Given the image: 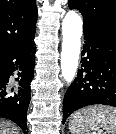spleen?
<instances>
[{"label":"spleen","mask_w":116,"mask_h":134,"mask_svg":"<svg viewBox=\"0 0 116 134\" xmlns=\"http://www.w3.org/2000/svg\"><path fill=\"white\" fill-rule=\"evenodd\" d=\"M98 126L107 134H116V108L90 106L75 112L69 121L71 134H90Z\"/></svg>","instance_id":"3e777b00"}]
</instances>
